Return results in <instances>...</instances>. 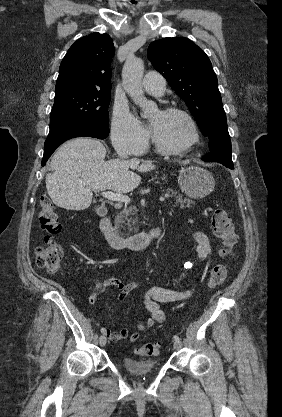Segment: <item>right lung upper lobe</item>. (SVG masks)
<instances>
[{
    "mask_svg": "<svg viewBox=\"0 0 282 417\" xmlns=\"http://www.w3.org/2000/svg\"><path fill=\"white\" fill-rule=\"evenodd\" d=\"M113 41L97 32L77 40L63 58L55 92L75 89L111 90Z\"/></svg>",
    "mask_w": 282,
    "mask_h": 417,
    "instance_id": "right-lung-upper-lobe-1",
    "label": "right lung upper lobe"
}]
</instances>
